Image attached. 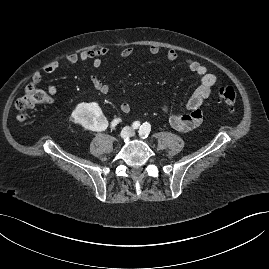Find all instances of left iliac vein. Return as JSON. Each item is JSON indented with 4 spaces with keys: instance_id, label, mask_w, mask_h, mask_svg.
I'll return each mask as SVG.
<instances>
[{
    "instance_id": "obj_1",
    "label": "left iliac vein",
    "mask_w": 269,
    "mask_h": 269,
    "mask_svg": "<svg viewBox=\"0 0 269 269\" xmlns=\"http://www.w3.org/2000/svg\"><path fill=\"white\" fill-rule=\"evenodd\" d=\"M134 135H135V132H134V131H132V132H131V136H134Z\"/></svg>"
}]
</instances>
